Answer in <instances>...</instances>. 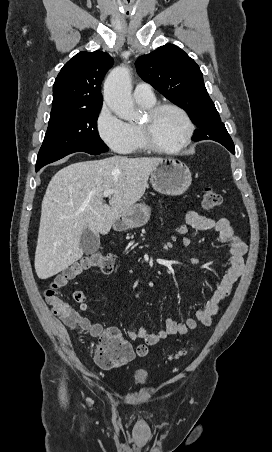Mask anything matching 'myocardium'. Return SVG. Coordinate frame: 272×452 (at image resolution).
<instances>
[{"instance_id":"f54148a6","label":"myocardium","mask_w":272,"mask_h":452,"mask_svg":"<svg viewBox=\"0 0 272 452\" xmlns=\"http://www.w3.org/2000/svg\"><path fill=\"white\" fill-rule=\"evenodd\" d=\"M165 109L177 112L184 120L185 134L178 144L174 146H162L157 144L150 136L149 125L147 122H141L138 124L139 131L146 148L160 153H176L184 149L190 143L194 133V125L188 113L182 107L174 103H160L153 105L146 110V117L150 120L160 111Z\"/></svg>"}]
</instances>
